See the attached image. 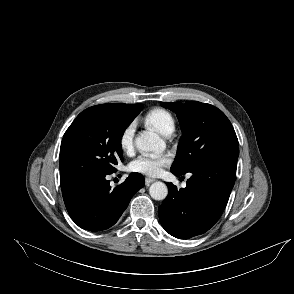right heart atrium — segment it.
I'll list each match as a JSON object with an SVG mask.
<instances>
[{"mask_svg":"<svg viewBox=\"0 0 294 294\" xmlns=\"http://www.w3.org/2000/svg\"><path fill=\"white\" fill-rule=\"evenodd\" d=\"M135 131L136 123L130 122L120 133L119 146L125 154H129L134 148Z\"/></svg>","mask_w":294,"mask_h":294,"instance_id":"right-heart-atrium-1","label":"right heart atrium"}]
</instances>
